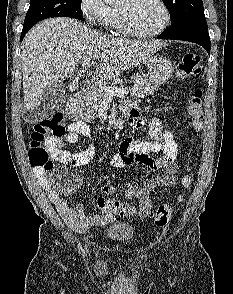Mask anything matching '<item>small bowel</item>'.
Masks as SVG:
<instances>
[{
	"label": "small bowel",
	"mask_w": 233,
	"mask_h": 294,
	"mask_svg": "<svg viewBox=\"0 0 233 294\" xmlns=\"http://www.w3.org/2000/svg\"><path fill=\"white\" fill-rule=\"evenodd\" d=\"M128 108H132L134 111L131 127L139 129L142 126L139 111L132 103H123L122 109L127 115ZM89 135L90 129L86 123L82 121L70 123L64 135L53 141L55 156L63 164L72 167L88 164L95 155V148L93 146H89L80 153L71 154L63 149V145L64 142L76 143L80 137H88ZM148 136L149 139L146 141H136L131 138L125 139L120 144L118 152L112 157L110 163L111 167L116 169L130 165H139L151 171L160 172L158 176L146 179L143 184L130 183L124 191L127 200H138L139 214L143 218L148 216L151 208V192L157 187L175 186L178 173V166L175 163L178 147L172 134L162 128L159 120L153 119ZM34 172L61 217L77 232H83L93 225L110 223L116 215H128L121 211L122 204L127 203H120L117 200L105 197H98L96 199V204L101 211L100 214H86L80 203L66 200L52 185L49 173L41 168H34ZM79 180L81 185L83 178L79 177ZM101 190L107 195H112L116 192L115 187L109 184L103 185Z\"/></svg>",
	"instance_id": "c3829d8e"
}]
</instances>
